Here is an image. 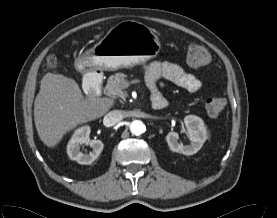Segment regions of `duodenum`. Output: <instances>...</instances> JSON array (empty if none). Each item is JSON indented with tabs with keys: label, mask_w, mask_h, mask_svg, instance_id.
Segmentation results:
<instances>
[{
	"label": "duodenum",
	"mask_w": 277,
	"mask_h": 218,
	"mask_svg": "<svg viewBox=\"0 0 277 218\" xmlns=\"http://www.w3.org/2000/svg\"><path fill=\"white\" fill-rule=\"evenodd\" d=\"M103 84L102 73L98 70L91 71L86 74L84 79L85 93L90 98H96L101 94ZM166 106V102L162 98H158L154 102V109L159 110Z\"/></svg>",
	"instance_id": "obj_1"
}]
</instances>
